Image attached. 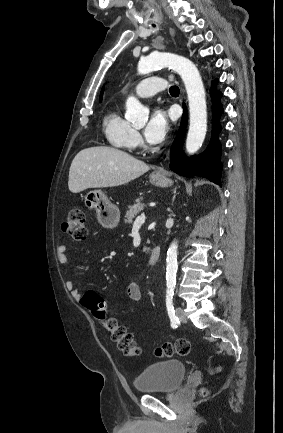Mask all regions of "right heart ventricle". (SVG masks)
<instances>
[{"mask_svg":"<svg viewBox=\"0 0 283 433\" xmlns=\"http://www.w3.org/2000/svg\"><path fill=\"white\" fill-rule=\"evenodd\" d=\"M102 127L109 142L116 147L128 144L134 133L131 123L122 116L118 109L108 112L103 117Z\"/></svg>","mask_w":283,"mask_h":433,"instance_id":"e07e8e85","label":"right heart ventricle"}]
</instances>
